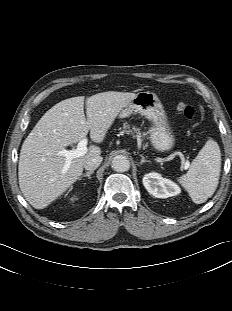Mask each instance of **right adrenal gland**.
I'll list each match as a JSON object with an SVG mask.
<instances>
[{"label": "right adrenal gland", "mask_w": 232, "mask_h": 311, "mask_svg": "<svg viewBox=\"0 0 232 311\" xmlns=\"http://www.w3.org/2000/svg\"><path fill=\"white\" fill-rule=\"evenodd\" d=\"M93 173H94L93 170L88 171V172H86L85 174H83V175L79 178V180H82V178H84V177H88V179H91V174H93Z\"/></svg>", "instance_id": "right-adrenal-gland-1"}]
</instances>
